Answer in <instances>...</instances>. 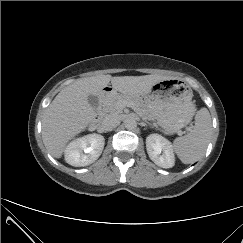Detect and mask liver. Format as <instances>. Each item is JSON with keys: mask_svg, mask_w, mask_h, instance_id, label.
Returning <instances> with one entry per match:
<instances>
[{"mask_svg": "<svg viewBox=\"0 0 243 243\" xmlns=\"http://www.w3.org/2000/svg\"><path fill=\"white\" fill-rule=\"evenodd\" d=\"M170 79L161 75L121 76L98 75L79 79L65 87L45 111L42 121V139L48 152L60 158L69 140L92 122L96 113L88 96H99L111 81L112 93L139 98L161 81Z\"/></svg>", "mask_w": 243, "mask_h": 243, "instance_id": "6515ba94", "label": "liver"}]
</instances>
